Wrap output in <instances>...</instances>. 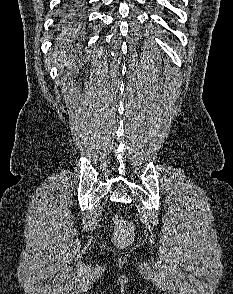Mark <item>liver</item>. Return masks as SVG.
Masks as SVG:
<instances>
[{
	"mask_svg": "<svg viewBox=\"0 0 233 294\" xmlns=\"http://www.w3.org/2000/svg\"><path fill=\"white\" fill-rule=\"evenodd\" d=\"M58 62H59V65H60V67H65V66H68V65H70V63H71V60H70V58L68 57H65V55L64 54H61L59 57H58Z\"/></svg>",
	"mask_w": 233,
	"mask_h": 294,
	"instance_id": "6515ba94",
	"label": "liver"
}]
</instances>
